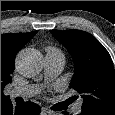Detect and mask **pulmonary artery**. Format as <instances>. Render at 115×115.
I'll use <instances>...</instances> for the list:
<instances>
[{"instance_id":"obj_1","label":"pulmonary artery","mask_w":115,"mask_h":115,"mask_svg":"<svg viewBox=\"0 0 115 115\" xmlns=\"http://www.w3.org/2000/svg\"><path fill=\"white\" fill-rule=\"evenodd\" d=\"M65 65L64 55L59 51H47L45 55V75L47 79L56 77ZM39 91L35 85L23 86L15 88L11 91V97H31ZM73 111L79 113L81 111V104L74 106Z\"/></svg>"}]
</instances>
